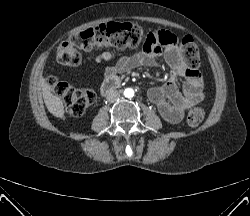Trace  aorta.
Here are the masks:
<instances>
[{
  "instance_id": "aorta-1",
  "label": "aorta",
  "mask_w": 250,
  "mask_h": 216,
  "mask_svg": "<svg viewBox=\"0 0 250 216\" xmlns=\"http://www.w3.org/2000/svg\"><path fill=\"white\" fill-rule=\"evenodd\" d=\"M124 96L127 98H132L134 96V90L131 88H127L124 90Z\"/></svg>"
}]
</instances>
